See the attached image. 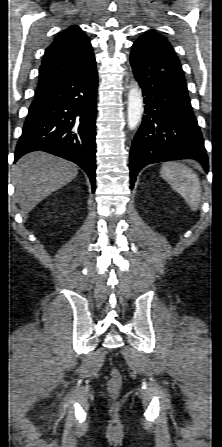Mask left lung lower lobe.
<instances>
[{"mask_svg":"<svg viewBox=\"0 0 222 447\" xmlns=\"http://www.w3.org/2000/svg\"><path fill=\"white\" fill-rule=\"evenodd\" d=\"M130 63L146 104L130 152V188L139 171L152 163L192 158L207 170L204 140L182 66L170 43L144 34L132 45Z\"/></svg>","mask_w":222,"mask_h":447,"instance_id":"obj_1","label":"left lung lower lobe"}]
</instances>
